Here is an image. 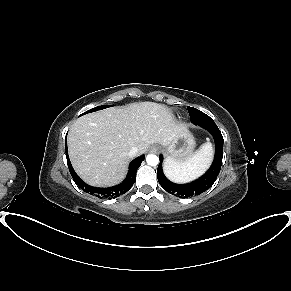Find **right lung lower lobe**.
I'll return each mask as SVG.
<instances>
[{"instance_id": "right-lung-lower-lobe-1", "label": "right lung lower lobe", "mask_w": 291, "mask_h": 291, "mask_svg": "<svg viewBox=\"0 0 291 291\" xmlns=\"http://www.w3.org/2000/svg\"><path fill=\"white\" fill-rule=\"evenodd\" d=\"M65 149H66V158H67V164H68V168L69 171L71 173V176L73 178V180L75 181V183L86 193L95 195L99 198H108V199H112V198H116L120 195L125 194L134 184L135 180H136V172L137 169L140 167L141 162L144 160L145 155H142L136 159H134L130 165H129V170L127 173L126 178L124 179V181L116 186L113 187H109V188H97V187H92L88 184H86L84 181H82L78 175L75 173V171L73 170L69 157H68V151H67V140L65 141Z\"/></svg>"}]
</instances>
